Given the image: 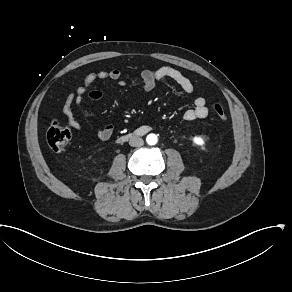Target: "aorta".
<instances>
[{
	"label": "aorta",
	"mask_w": 292,
	"mask_h": 292,
	"mask_svg": "<svg viewBox=\"0 0 292 292\" xmlns=\"http://www.w3.org/2000/svg\"><path fill=\"white\" fill-rule=\"evenodd\" d=\"M146 140L148 144L155 145L157 143L158 138L157 135L155 134H149Z\"/></svg>",
	"instance_id": "aorta-1"
}]
</instances>
